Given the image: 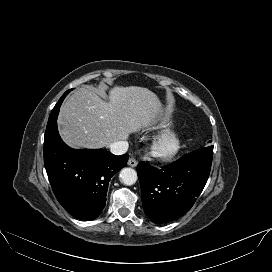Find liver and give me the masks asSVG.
I'll list each match as a JSON object with an SVG mask.
<instances>
[{"instance_id":"1","label":"liver","mask_w":272,"mask_h":272,"mask_svg":"<svg viewBox=\"0 0 272 272\" xmlns=\"http://www.w3.org/2000/svg\"><path fill=\"white\" fill-rule=\"evenodd\" d=\"M162 111L160 99L147 88L115 86L107 102L81 87L64 101L57 123L70 147L99 149L149 128Z\"/></svg>"}]
</instances>
